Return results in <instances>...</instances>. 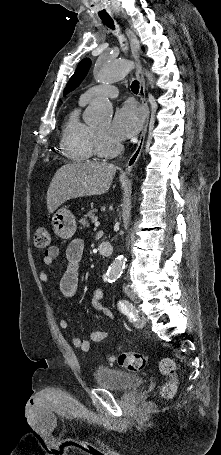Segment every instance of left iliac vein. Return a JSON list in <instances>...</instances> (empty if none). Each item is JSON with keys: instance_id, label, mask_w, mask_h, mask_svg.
<instances>
[{"instance_id": "obj_1", "label": "left iliac vein", "mask_w": 221, "mask_h": 455, "mask_svg": "<svg viewBox=\"0 0 221 455\" xmlns=\"http://www.w3.org/2000/svg\"><path fill=\"white\" fill-rule=\"evenodd\" d=\"M135 308V307H134ZM146 324V318L144 316H137L136 320L134 322V325L137 328H143L144 325Z\"/></svg>"}]
</instances>
